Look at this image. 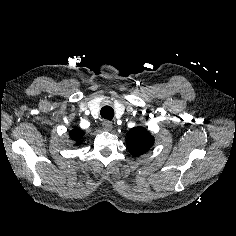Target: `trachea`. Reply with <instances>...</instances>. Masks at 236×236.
Here are the masks:
<instances>
[{"mask_svg":"<svg viewBox=\"0 0 236 236\" xmlns=\"http://www.w3.org/2000/svg\"><path fill=\"white\" fill-rule=\"evenodd\" d=\"M100 115L104 119L112 120L113 117H114V110H113L112 107L106 105V106L101 108Z\"/></svg>","mask_w":236,"mask_h":236,"instance_id":"obj_1","label":"trachea"}]
</instances>
